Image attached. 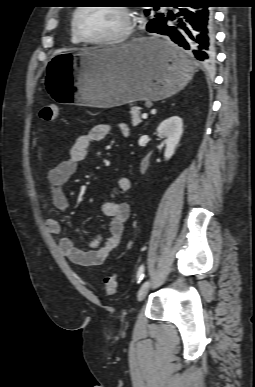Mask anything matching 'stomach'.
Listing matches in <instances>:
<instances>
[{"instance_id": "obj_1", "label": "stomach", "mask_w": 255, "mask_h": 387, "mask_svg": "<svg viewBox=\"0 0 255 387\" xmlns=\"http://www.w3.org/2000/svg\"><path fill=\"white\" fill-rule=\"evenodd\" d=\"M166 57L151 38L107 49L59 53L47 63L45 85L54 104L109 108L161 100L182 90L194 68Z\"/></svg>"}]
</instances>
